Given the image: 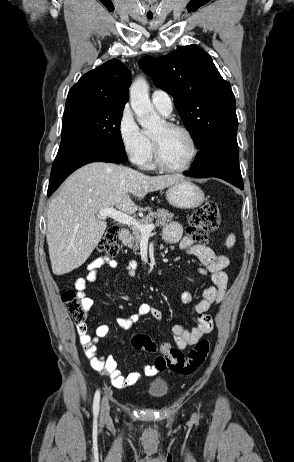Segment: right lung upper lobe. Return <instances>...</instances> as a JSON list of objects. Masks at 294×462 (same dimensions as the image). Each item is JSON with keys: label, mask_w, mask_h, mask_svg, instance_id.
Masks as SVG:
<instances>
[{"label": "right lung upper lobe", "mask_w": 294, "mask_h": 462, "mask_svg": "<svg viewBox=\"0 0 294 462\" xmlns=\"http://www.w3.org/2000/svg\"><path fill=\"white\" fill-rule=\"evenodd\" d=\"M130 84V71L114 58L84 74L70 89L66 105L82 102L125 105Z\"/></svg>", "instance_id": "cb5924a9"}]
</instances>
